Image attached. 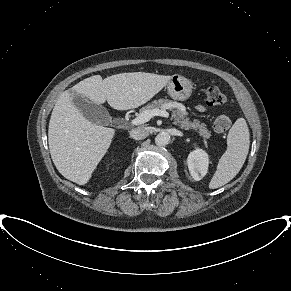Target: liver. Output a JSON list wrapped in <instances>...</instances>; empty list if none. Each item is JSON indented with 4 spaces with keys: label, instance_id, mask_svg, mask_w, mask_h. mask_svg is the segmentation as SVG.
Returning <instances> with one entry per match:
<instances>
[{
    "label": "liver",
    "instance_id": "liver-1",
    "mask_svg": "<svg viewBox=\"0 0 291 291\" xmlns=\"http://www.w3.org/2000/svg\"><path fill=\"white\" fill-rule=\"evenodd\" d=\"M171 77L145 72L105 79L94 75L64 91L53 108L48 128L49 150L57 170L66 179L87 184L115 135V129L87 120L74 105L73 93L98 105L107 101L116 110H129L148 102Z\"/></svg>",
    "mask_w": 291,
    "mask_h": 291
}]
</instances>
